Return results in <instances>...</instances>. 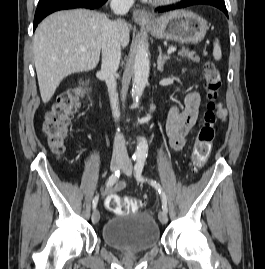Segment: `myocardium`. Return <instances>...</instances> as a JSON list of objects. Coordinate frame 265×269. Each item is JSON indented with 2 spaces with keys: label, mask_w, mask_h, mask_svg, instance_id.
<instances>
[{
  "label": "myocardium",
  "mask_w": 265,
  "mask_h": 269,
  "mask_svg": "<svg viewBox=\"0 0 265 269\" xmlns=\"http://www.w3.org/2000/svg\"><path fill=\"white\" fill-rule=\"evenodd\" d=\"M153 3L155 4H160V5H164V4H170V3H174L180 0H151Z\"/></svg>",
  "instance_id": "f54148a6"
}]
</instances>
